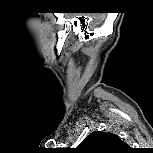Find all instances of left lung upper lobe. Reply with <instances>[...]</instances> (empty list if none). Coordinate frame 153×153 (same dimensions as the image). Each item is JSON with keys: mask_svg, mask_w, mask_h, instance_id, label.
Segmentation results:
<instances>
[{"mask_svg": "<svg viewBox=\"0 0 153 153\" xmlns=\"http://www.w3.org/2000/svg\"><path fill=\"white\" fill-rule=\"evenodd\" d=\"M126 147L115 134L93 132L79 144L77 149L82 153H115Z\"/></svg>", "mask_w": 153, "mask_h": 153, "instance_id": "obj_1", "label": "left lung upper lobe"}]
</instances>
